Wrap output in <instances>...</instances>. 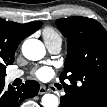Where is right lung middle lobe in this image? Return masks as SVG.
I'll return each mask as SVG.
<instances>
[{
  "label": "right lung middle lobe",
  "instance_id": "right-lung-middle-lobe-1",
  "mask_svg": "<svg viewBox=\"0 0 107 107\" xmlns=\"http://www.w3.org/2000/svg\"><path fill=\"white\" fill-rule=\"evenodd\" d=\"M6 75L5 71L0 74V80H4V76Z\"/></svg>",
  "mask_w": 107,
  "mask_h": 107
}]
</instances>
